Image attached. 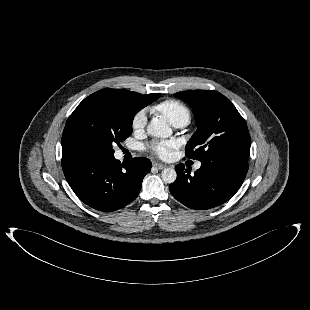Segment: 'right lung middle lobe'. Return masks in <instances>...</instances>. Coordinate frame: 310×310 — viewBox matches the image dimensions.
<instances>
[{
    "label": "right lung middle lobe",
    "instance_id": "dd1d6c3e",
    "mask_svg": "<svg viewBox=\"0 0 310 310\" xmlns=\"http://www.w3.org/2000/svg\"><path fill=\"white\" fill-rule=\"evenodd\" d=\"M160 94L149 101L154 102ZM132 105L115 98L88 96L68 118L62 135L63 155L82 152L114 153L112 145L119 144L132 133Z\"/></svg>",
    "mask_w": 310,
    "mask_h": 310
}]
</instances>
